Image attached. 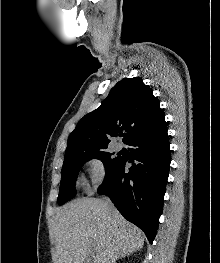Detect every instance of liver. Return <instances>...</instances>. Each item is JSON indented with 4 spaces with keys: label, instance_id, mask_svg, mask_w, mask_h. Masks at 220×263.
<instances>
[{
    "label": "liver",
    "instance_id": "obj_1",
    "mask_svg": "<svg viewBox=\"0 0 220 263\" xmlns=\"http://www.w3.org/2000/svg\"><path fill=\"white\" fill-rule=\"evenodd\" d=\"M53 237L55 263H115L144 244L139 228L97 198L76 199L59 208Z\"/></svg>",
    "mask_w": 220,
    "mask_h": 263
}]
</instances>
